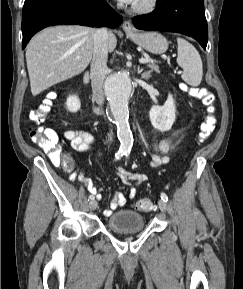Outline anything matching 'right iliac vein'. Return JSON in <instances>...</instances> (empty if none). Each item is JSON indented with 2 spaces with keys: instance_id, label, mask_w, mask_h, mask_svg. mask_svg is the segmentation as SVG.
Here are the masks:
<instances>
[{
  "instance_id": "63e3f726",
  "label": "right iliac vein",
  "mask_w": 243,
  "mask_h": 289,
  "mask_svg": "<svg viewBox=\"0 0 243 289\" xmlns=\"http://www.w3.org/2000/svg\"><path fill=\"white\" fill-rule=\"evenodd\" d=\"M97 205H98V203H97L96 200H94V199L91 200L90 203H89L90 210H95L97 208Z\"/></svg>"
}]
</instances>
